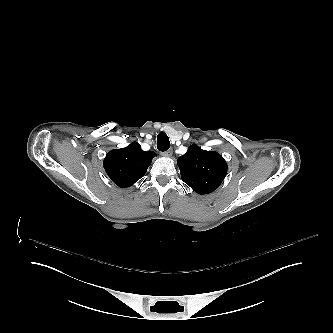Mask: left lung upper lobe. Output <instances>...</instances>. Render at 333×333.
Returning <instances> with one entry per match:
<instances>
[{"instance_id":"1","label":"left lung upper lobe","mask_w":333,"mask_h":333,"mask_svg":"<svg viewBox=\"0 0 333 333\" xmlns=\"http://www.w3.org/2000/svg\"><path fill=\"white\" fill-rule=\"evenodd\" d=\"M182 180L198 194L213 192L227 173V163L217 152L193 144L177 159Z\"/></svg>"}]
</instances>
